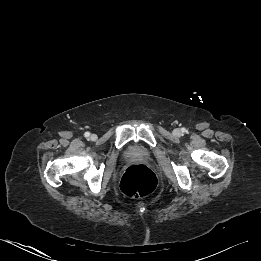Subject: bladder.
<instances>
[{"label": "bladder", "instance_id": "obj_1", "mask_svg": "<svg viewBox=\"0 0 261 261\" xmlns=\"http://www.w3.org/2000/svg\"><path fill=\"white\" fill-rule=\"evenodd\" d=\"M132 154L138 155L139 153H138V151L134 150V151L132 152Z\"/></svg>", "mask_w": 261, "mask_h": 261}]
</instances>
